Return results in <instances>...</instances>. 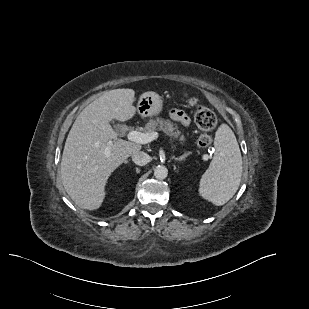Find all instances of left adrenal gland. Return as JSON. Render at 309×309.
Segmentation results:
<instances>
[{"label":"left adrenal gland","mask_w":309,"mask_h":309,"mask_svg":"<svg viewBox=\"0 0 309 309\" xmlns=\"http://www.w3.org/2000/svg\"><path fill=\"white\" fill-rule=\"evenodd\" d=\"M191 152H187V153H184L183 155H181L180 157L176 158V160L178 161H182L184 160L188 155H190Z\"/></svg>","instance_id":"left-adrenal-gland-1"}]
</instances>
